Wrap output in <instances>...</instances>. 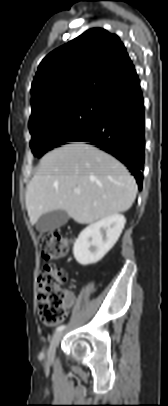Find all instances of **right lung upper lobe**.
I'll list each match as a JSON object with an SVG mask.
<instances>
[{"label": "right lung upper lobe", "mask_w": 168, "mask_h": 406, "mask_svg": "<svg viewBox=\"0 0 168 406\" xmlns=\"http://www.w3.org/2000/svg\"><path fill=\"white\" fill-rule=\"evenodd\" d=\"M137 79L119 37L90 29L40 63L32 82L29 124L81 101L102 99Z\"/></svg>", "instance_id": "obj_1"}]
</instances>
